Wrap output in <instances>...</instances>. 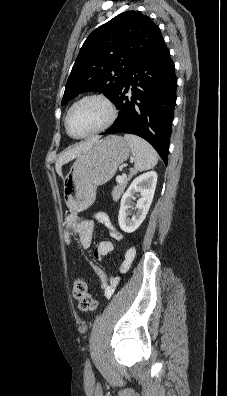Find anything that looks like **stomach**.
<instances>
[{"mask_svg": "<svg viewBox=\"0 0 227 396\" xmlns=\"http://www.w3.org/2000/svg\"><path fill=\"white\" fill-rule=\"evenodd\" d=\"M129 143L111 135L97 140L82 152L63 180L64 199L73 211H83L95 201L98 186L115 175L120 164L130 155Z\"/></svg>", "mask_w": 227, "mask_h": 396, "instance_id": "obj_1", "label": "stomach"}]
</instances>
